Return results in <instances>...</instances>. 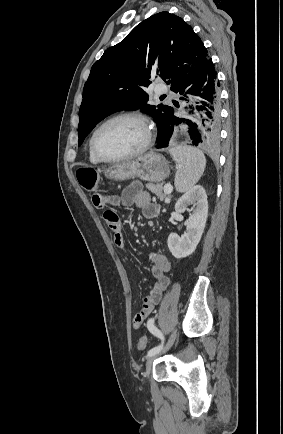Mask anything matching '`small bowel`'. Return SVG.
Segmentation results:
<instances>
[{"instance_id":"small-bowel-1","label":"small bowel","mask_w":283,"mask_h":434,"mask_svg":"<svg viewBox=\"0 0 283 434\" xmlns=\"http://www.w3.org/2000/svg\"><path fill=\"white\" fill-rule=\"evenodd\" d=\"M92 201L97 208L105 209L104 219L113 232L114 243L120 249L125 248L122 223L117 213L113 209H109L108 206L134 205L141 210L143 217L147 219L155 217L159 211L158 205L151 201L150 195L143 190L139 183L127 186L120 196L95 192ZM149 258L154 284L149 294L144 298L142 308L133 318L135 327L140 326L151 315L154 307L161 301L164 292L170 285L167 273L170 271L171 265L167 257L161 253L151 252Z\"/></svg>"}]
</instances>
